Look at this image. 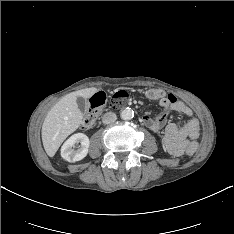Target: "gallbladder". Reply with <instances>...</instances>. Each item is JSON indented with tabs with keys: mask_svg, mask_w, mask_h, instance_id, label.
<instances>
[{
	"mask_svg": "<svg viewBox=\"0 0 234 234\" xmlns=\"http://www.w3.org/2000/svg\"><path fill=\"white\" fill-rule=\"evenodd\" d=\"M76 102H77L78 108L82 112H84L86 110V108H87V102H86V100L84 98H82V97H77V101Z\"/></svg>",
	"mask_w": 234,
	"mask_h": 234,
	"instance_id": "obj_1",
	"label": "gallbladder"
}]
</instances>
